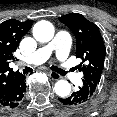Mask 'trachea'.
<instances>
[{"label":"trachea","instance_id":"1","mask_svg":"<svg viewBox=\"0 0 117 117\" xmlns=\"http://www.w3.org/2000/svg\"><path fill=\"white\" fill-rule=\"evenodd\" d=\"M51 69H52L53 71L59 73L60 75H65V74H66V71H64V70H62V69H60V68H57V67L52 66ZM31 71H33L32 68L26 67V68L23 70V73L26 74V73H29V72H31Z\"/></svg>","mask_w":117,"mask_h":117}]
</instances>
